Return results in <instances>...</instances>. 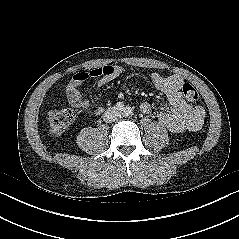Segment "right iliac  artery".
Instances as JSON below:
<instances>
[{"instance_id": "right-iliac-artery-1", "label": "right iliac artery", "mask_w": 239, "mask_h": 239, "mask_svg": "<svg viewBox=\"0 0 239 239\" xmlns=\"http://www.w3.org/2000/svg\"><path fill=\"white\" fill-rule=\"evenodd\" d=\"M115 109H117V110H119V111H123V110H124V105H123V103L118 102V103L115 105Z\"/></svg>"}]
</instances>
